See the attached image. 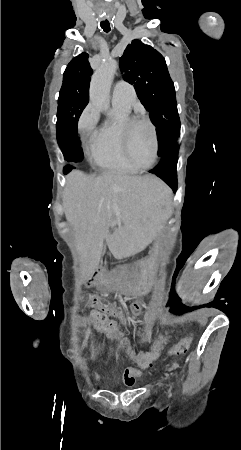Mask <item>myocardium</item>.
Masks as SVG:
<instances>
[{
    "label": "myocardium",
    "instance_id": "obj_1",
    "mask_svg": "<svg viewBox=\"0 0 241 450\" xmlns=\"http://www.w3.org/2000/svg\"><path fill=\"white\" fill-rule=\"evenodd\" d=\"M136 122H137L136 116H129L123 120L122 125L120 127L121 128V131H120L121 136L119 137L118 140L121 144H119V149H122V153H125L124 154L126 157L125 160L128 163H129V159L131 158L132 155H131V153H129L125 150V145L127 143H129L128 137H130V134L132 133V129H130V127ZM158 125H159L158 122H156V121L152 122V127L156 128V127H158ZM149 134L152 135V137H150V141H149L150 148L153 149L152 150L153 151L152 162H157V157H159V152H158L159 150L157 148L156 142H160L161 138L157 137L156 130H150Z\"/></svg>",
    "mask_w": 241,
    "mask_h": 450
}]
</instances>
